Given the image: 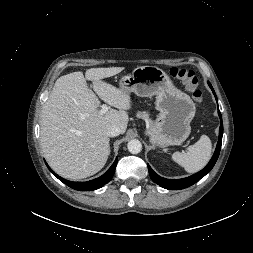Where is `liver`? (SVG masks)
Listing matches in <instances>:
<instances>
[{"mask_svg": "<svg viewBox=\"0 0 253 253\" xmlns=\"http://www.w3.org/2000/svg\"><path fill=\"white\" fill-rule=\"evenodd\" d=\"M124 67L91 68L58 78L43 106L40 143L47 162L60 176L83 179L100 171L110 154L107 129L117 125L125 133L131 98L120 88L102 81ZM117 108L105 114L100 100ZM82 116H85L82 118Z\"/></svg>", "mask_w": 253, "mask_h": 253, "instance_id": "6515ba94", "label": "liver"}]
</instances>
